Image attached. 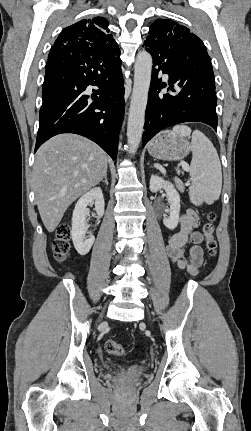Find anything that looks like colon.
<instances>
[{
	"label": "colon",
	"instance_id": "5ec220e1",
	"mask_svg": "<svg viewBox=\"0 0 251 431\" xmlns=\"http://www.w3.org/2000/svg\"><path fill=\"white\" fill-rule=\"evenodd\" d=\"M215 218L216 216L214 213H209L206 222L202 226V233L206 240V249L210 256H214L217 252V241L214 236ZM70 235L71 229L68 223L59 225L52 245L54 258L57 261L64 260L71 249ZM104 347L107 353L115 356H122L125 352L123 345L114 340L106 341Z\"/></svg>",
	"mask_w": 251,
	"mask_h": 431
}]
</instances>
